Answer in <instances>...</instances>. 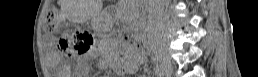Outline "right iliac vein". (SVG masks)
I'll return each instance as SVG.
<instances>
[{"label":"right iliac vein","instance_id":"right-iliac-vein-1","mask_svg":"<svg viewBox=\"0 0 258 77\" xmlns=\"http://www.w3.org/2000/svg\"><path fill=\"white\" fill-rule=\"evenodd\" d=\"M160 60V70L166 74H172L173 68L172 63L167 54H160L159 55Z\"/></svg>","mask_w":258,"mask_h":77}]
</instances>
